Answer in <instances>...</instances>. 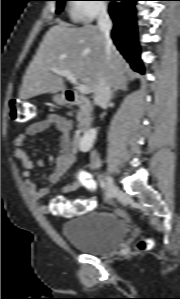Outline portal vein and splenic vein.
Listing matches in <instances>:
<instances>
[{"label": "portal vein and splenic vein", "instance_id": "obj_1", "mask_svg": "<svg viewBox=\"0 0 180 299\" xmlns=\"http://www.w3.org/2000/svg\"><path fill=\"white\" fill-rule=\"evenodd\" d=\"M51 71L59 76L66 77L73 85H75V88L77 91H79V93L88 94L90 92L89 88L86 85L79 83L75 75L70 71L59 70L57 68H51Z\"/></svg>", "mask_w": 180, "mask_h": 299}]
</instances>
